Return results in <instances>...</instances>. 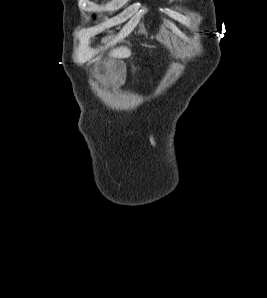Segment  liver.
<instances>
[{"label":"liver","instance_id":"6515ba94","mask_svg":"<svg viewBox=\"0 0 267 298\" xmlns=\"http://www.w3.org/2000/svg\"><path fill=\"white\" fill-rule=\"evenodd\" d=\"M109 56L113 58L124 59L131 56V51L126 47H120L112 50Z\"/></svg>","mask_w":267,"mask_h":298}]
</instances>
